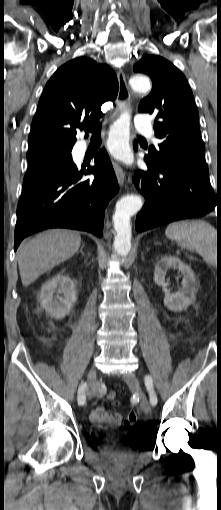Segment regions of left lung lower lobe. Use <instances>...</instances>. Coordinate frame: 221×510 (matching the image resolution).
Returning a JSON list of instances; mask_svg holds the SVG:
<instances>
[{"instance_id": "obj_1", "label": "left lung lower lobe", "mask_w": 221, "mask_h": 510, "mask_svg": "<svg viewBox=\"0 0 221 510\" xmlns=\"http://www.w3.org/2000/svg\"><path fill=\"white\" fill-rule=\"evenodd\" d=\"M147 171L138 170L133 182L146 198L137 214L138 232L173 221L201 217L217 206V239L221 242V195L217 197L209 176L180 167H157L145 156Z\"/></svg>"}]
</instances>
